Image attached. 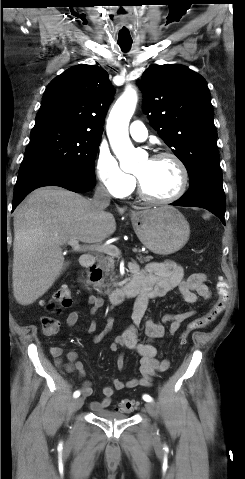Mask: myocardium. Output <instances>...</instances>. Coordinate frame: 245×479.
Returning <instances> with one entry per match:
<instances>
[{
	"instance_id": "obj_1",
	"label": "myocardium",
	"mask_w": 245,
	"mask_h": 479,
	"mask_svg": "<svg viewBox=\"0 0 245 479\" xmlns=\"http://www.w3.org/2000/svg\"><path fill=\"white\" fill-rule=\"evenodd\" d=\"M162 158H169L171 159L176 166L178 167L180 180L177 190L170 196L165 198H157L149 195L141 182V179L135 175V183L138 195L145 201L153 204H169L176 200H178L186 191L189 181V174L187 167L183 160L174 152L171 151H160L151 155V160H157Z\"/></svg>"
}]
</instances>
